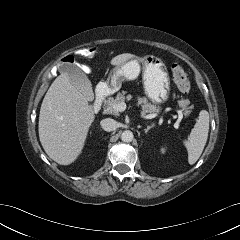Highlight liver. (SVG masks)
<instances>
[{
  "label": "liver",
  "mask_w": 240,
  "mask_h": 240,
  "mask_svg": "<svg viewBox=\"0 0 240 240\" xmlns=\"http://www.w3.org/2000/svg\"><path fill=\"white\" fill-rule=\"evenodd\" d=\"M136 56L123 53L111 64L120 66ZM87 97L62 72L49 87L40 108L39 138L47 155L61 165L73 163L82 152L89 127L95 119Z\"/></svg>",
  "instance_id": "6515ba94"
}]
</instances>
